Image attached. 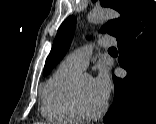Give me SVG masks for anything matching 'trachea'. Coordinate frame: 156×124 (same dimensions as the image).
<instances>
[{
	"mask_svg": "<svg viewBox=\"0 0 156 124\" xmlns=\"http://www.w3.org/2000/svg\"><path fill=\"white\" fill-rule=\"evenodd\" d=\"M109 51H116V48L112 47L109 49Z\"/></svg>",
	"mask_w": 156,
	"mask_h": 124,
	"instance_id": "3493384b",
	"label": "trachea"
}]
</instances>
